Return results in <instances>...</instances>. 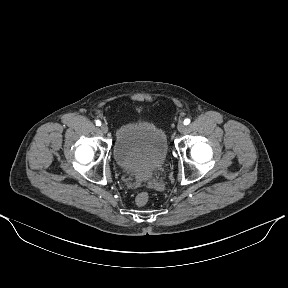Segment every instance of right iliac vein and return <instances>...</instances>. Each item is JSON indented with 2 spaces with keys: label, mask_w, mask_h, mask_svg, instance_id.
Masks as SVG:
<instances>
[{
  "label": "right iliac vein",
  "mask_w": 288,
  "mask_h": 288,
  "mask_svg": "<svg viewBox=\"0 0 288 288\" xmlns=\"http://www.w3.org/2000/svg\"><path fill=\"white\" fill-rule=\"evenodd\" d=\"M101 132L102 133H107L108 132V126L106 124H102L100 126Z\"/></svg>",
  "instance_id": "63e3f726"
}]
</instances>
